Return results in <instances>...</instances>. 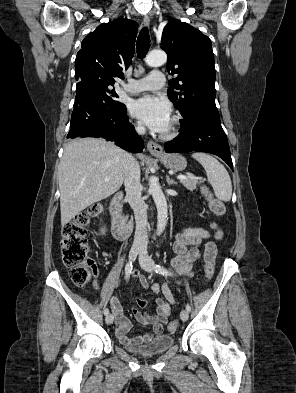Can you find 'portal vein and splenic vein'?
I'll list each match as a JSON object with an SVG mask.
<instances>
[{"label": "portal vein and splenic vein", "mask_w": 296, "mask_h": 393, "mask_svg": "<svg viewBox=\"0 0 296 393\" xmlns=\"http://www.w3.org/2000/svg\"><path fill=\"white\" fill-rule=\"evenodd\" d=\"M188 177L187 176H185V175H178L177 176V179H180V180H184V179H187ZM110 179L107 177L106 179H105V181H109Z\"/></svg>", "instance_id": "1"}]
</instances>
